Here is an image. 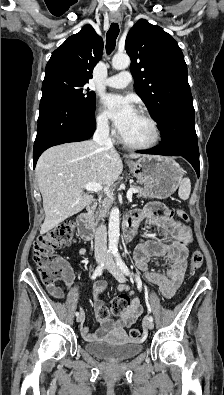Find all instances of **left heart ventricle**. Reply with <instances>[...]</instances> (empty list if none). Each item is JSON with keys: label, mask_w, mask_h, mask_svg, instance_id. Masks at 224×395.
<instances>
[{"label": "left heart ventricle", "mask_w": 224, "mask_h": 395, "mask_svg": "<svg viewBox=\"0 0 224 395\" xmlns=\"http://www.w3.org/2000/svg\"><path fill=\"white\" fill-rule=\"evenodd\" d=\"M121 134L130 142L146 143L152 139L153 131L149 122L136 113Z\"/></svg>", "instance_id": "1"}]
</instances>
